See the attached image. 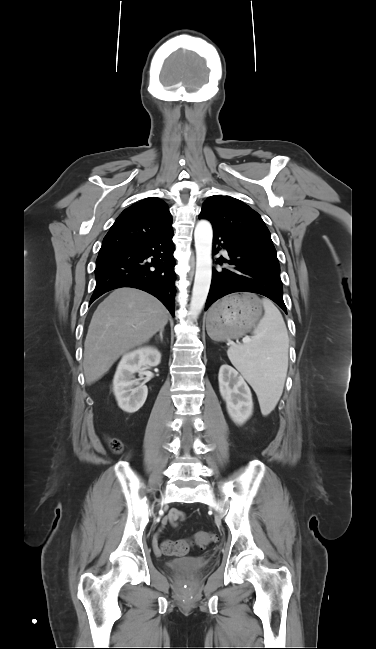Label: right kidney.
<instances>
[{
	"label": "right kidney",
	"instance_id": "right-kidney-1",
	"mask_svg": "<svg viewBox=\"0 0 376 649\" xmlns=\"http://www.w3.org/2000/svg\"><path fill=\"white\" fill-rule=\"evenodd\" d=\"M160 362V352L149 346L138 348L122 357L114 375L113 392L123 411L134 413L143 406L148 388L140 380H143L146 368L155 367ZM135 373H139V379H135Z\"/></svg>",
	"mask_w": 376,
	"mask_h": 649
}]
</instances>
